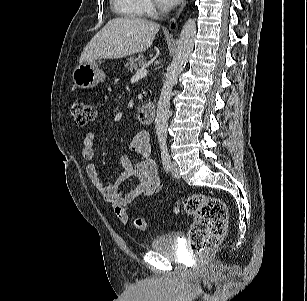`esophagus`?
<instances>
[{
  "mask_svg": "<svg viewBox=\"0 0 307 301\" xmlns=\"http://www.w3.org/2000/svg\"><path fill=\"white\" fill-rule=\"evenodd\" d=\"M186 2H187V1L185 0V1L183 2V4L181 5L179 11H178L177 14H176V18H179V17H180L181 13L183 12V10H184V8H185Z\"/></svg>",
  "mask_w": 307,
  "mask_h": 301,
  "instance_id": "34e87169",
  "label": "esophagus"
}]
</instances>
